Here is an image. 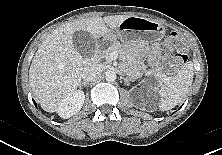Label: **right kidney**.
Segmentation results:
<instances>
[{
    "label": "right kidney",
    "instance_id": "ca27d5eb",
    "mask_svg": "<svg viewBox=\"0 0 222 155\" xmlns=\"http://www.w3.org/2000/svg\"><path fill=\"white\" fill-rule=\"evenodd\" d=\"M85 100V94L81 90H76L67 96L60 103L57 113L61 118L67 119L81 110Z\"/></svg>",
    "mask_w": 222,
    "mask_h": 155
}]
</instances>
